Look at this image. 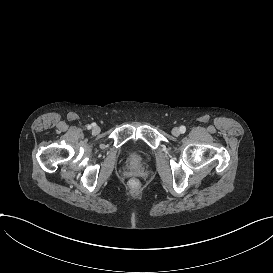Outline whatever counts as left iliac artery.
Instances as JSON below:
<instances>
[{"label": "left iliac artery", "mask_w": 273, "mask_h": 273, "mask_svg": "<svg viewBox=\"0 0 273 273\" xmlns=\"http://www.w3.org/2000/svg\"><path fill=\"white\" fill-rule=\"evenodd\" d=\"M180 131H181V133H185L186 127H185V126H181V127H180Z\"/></svg>", "instance_id": "1"}]
</instances>
